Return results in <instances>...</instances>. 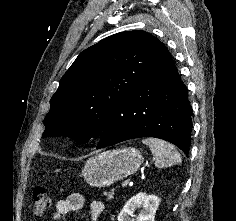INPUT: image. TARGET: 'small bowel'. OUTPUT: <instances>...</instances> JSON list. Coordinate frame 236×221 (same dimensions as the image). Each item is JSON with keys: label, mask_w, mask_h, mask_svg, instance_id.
<instances>
[{"label": "small bowel", "mask_w": 236, "mask_h": 221, "mask_svg": "<svg viewBox=\"0 0 236 221\" xmlns=\"http://www.w3.org/2000/svg\"><path fill=\"white\" fill-rule=\"evenodd\" d=\"M85 199L79 193H72L64 199H60L55 204L53 217L59 220L63 215L72 211L81 209L84 205ZM104 211V205L100 201H93L90 204L89 216L91 221H97Z\"/></svg>", "instance_id": "small-bowel-1"}]
</instances>
